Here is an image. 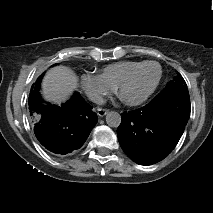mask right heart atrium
Wrapping results in <instances>:
<instances>
[{"instance_id": "d8ad5b80", "label": "right heart atrium", "mask_w": 213, "mask_h": 213, "mask_svg": "<svg viewBox=\"0 0 213 213\" xmlns=\"http://www.w3.org/2000/svg\"><path fill=\"white\" fill-rule=\"evenodd\" d=\"M81 83L88 97L96 103H102L115 90L114 87L97 74H83Z\"/></svg>"}]
</instances>
